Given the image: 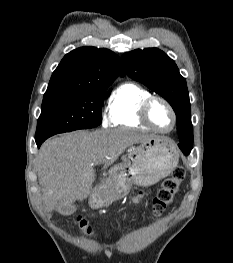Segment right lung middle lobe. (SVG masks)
<instances>
[{"label":"right lung middle lobe","instance_id":"1","mask_svg":"<svg viewBox=\"0 0 233 263\" xmlns=\"http://www.w3.org/2000/svg\"><path fill=\"white\" fill-rule=\"evenodd\" d=\"M106 89L44 95L35 140L101 124V107Z\"/></svg>","mask_w":233,"mask_h":263}]
</instances>
